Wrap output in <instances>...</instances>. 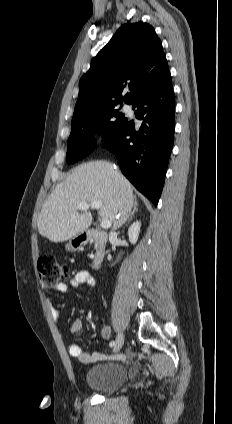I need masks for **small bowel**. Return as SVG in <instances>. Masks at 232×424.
I'll return each instance as SVG.
<instances>
[{
	"label": "small bowel",
	"mask_w": 232,
	"mask_h": 424,
	"mask_svg": "<svg viewBox=\"0 0 232 424\" xmlns=\"http://www.w3.org/2000/svg\"><path fill=\"white\" fill-rule=\"evenodd\" d=\"M89 286L94 287L96 285V280L94 276L87 270H79L77 271L73 278L70 280L69 285L66 283H59L55 286V290L59 293H65L68 291L69 286L73 288H78L80 286ZM48 308L53 315V317L57 320L63 317V313L56 309L52 302L47 299ZM83 324L80 319H75L70 324V332L79 337L82 334ZM112 331L108 326H104L101 330V337L103 339H109L111 337ZM68 352L72 357H75L83 364L93 363L102 359L105 355L100 352H86L83 350L82 346L78 343H72L68 347Z\"/></svg>",
	"instance_id": "1"
}]
</instances>
